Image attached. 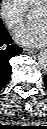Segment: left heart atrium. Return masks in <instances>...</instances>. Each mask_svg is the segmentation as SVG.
<instances>
[{"label": "left heart atrium", "instance_id": "1", "mask_svg": "<svg viewBox=\"0 0 47 129\" xmlns=\"http://www.w3.org/2000/svg\"><path fill=\"white\" fill-rule=\"evenodd\" d=\"M16 42L24 46L39 47L47 41L46 22H33L26 24L15 31Z\"/></svg>", "mask_w": 47, "mask_h": 129}]
</instances>
